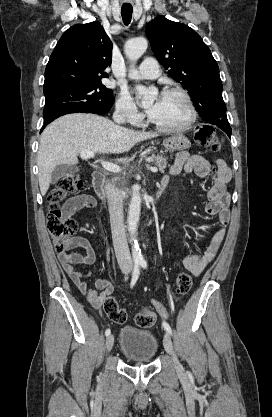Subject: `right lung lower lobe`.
<instances>
[{
    "label": "right lung lower lobe",
    "mask_w": 272,
    "mask_h": 417,
    "mask_svg": "<svg viewBox=\"0 0 272 417\" xmlns=\"http://www.w3.org/2000/svg\"><path fill=\"white\" fill-rule=\"evenodd\" d=\"M78 112H82V113H93V114H105V113H107V112H105V113L104 112H101V111L96 110V109H93V108H71V109H67V110H64V111H62V112L54 115L50 119L46 120L44 122V125H43L42 129H41V132L46 127V125H48L50 122H52L56 118H58V117H60L62 115H65V114L78 113Z\"/></svg>",
    "instance_id": "1"
}]
</instances>
